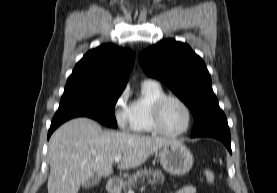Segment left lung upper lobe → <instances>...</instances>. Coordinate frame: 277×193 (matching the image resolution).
I'll use <instances>...</instances> for the list:
<instances>
[{"mask_svg":"<svg viewBox=\"0 0 277 193\" xmlns=\"http://www.w3.org/2000/svg\"><path fill=\"white\" fill-rule=\"evenodd\" d=\"M145 73L166 84L194 115L193 133L226 120L203 60L184 43L167 39L139 56Z\"/></svg>","mask_w":277,"mask_h":193,"instance_id":"obj_1","label":"left lung upper lobe"}]
</instances>
